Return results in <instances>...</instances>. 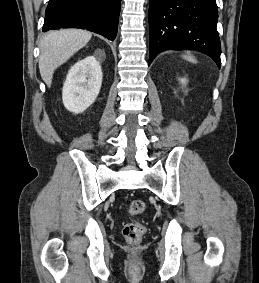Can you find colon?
<instances>
[{
  "instance_id": "5ec220e1",
  "label": "colon",
  "mask_w": 259,
  "mask_h": 283,
  "mask_svg": "<svg viewBox=\"0 0 259 283\" xmlns=\"http://www.w3.org/2000/svg\"><path fill=\"white\" fill-rule=\"evenodd\" d=\"M145 202L140 199H134L130 202L128 211L131 216L140 215L145 211ZM146 233V227L139 221L127 224L123 229L125 241L131 245L139 244Z\"/></svg>"
}]
</instances>
